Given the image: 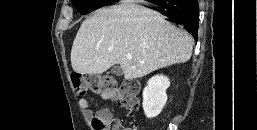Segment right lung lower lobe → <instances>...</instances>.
<instances>
[{
    "label": "right lung lower lobe",
    "instance_id": "1",
    "mask_svg": "<svg viewBox=\"0 0 257 130\" xmlns=\"http://www.w3.org/2000/svg\"><path fill=\"white\" fill-rule=\"evenodd\" d=\"M157 5L163 8L162 14L167 17L168 21L189 29L197 40L199 21L197 0L160 1Z\"/></svg>",
    "mask_w": 257,
    "mask_h": 130
}]
</instances>
